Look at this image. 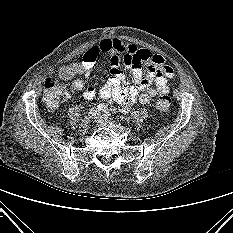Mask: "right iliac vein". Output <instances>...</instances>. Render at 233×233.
I'll list each match as a JSON object with an SVG mask.
<instances>
[{"label": "right iliac vein", "mask_w": 233, "mask_h": 233, "mask_svg": "<svg viewBox=\"0 0 233 233\" xmlns=\"http://www.w3.org/2000/svg\"><path fill=\"white\" fill-rule=\"evenodd\" d=\"M96 113H97V111L95 109H91L89 115L83 119V121L79 127V133L81 135H84L87 133L89 126H90V117L94 116Z\"/></svg>", "instance_id": "63e3f726"}]
</instances>
